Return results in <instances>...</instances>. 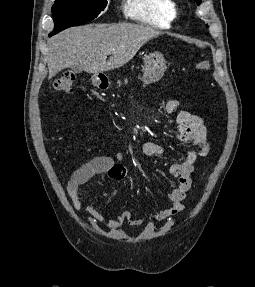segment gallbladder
Returning a JSON list of instances; mask_svg holds the SVG:
<instances>
[{
    "mask_svg": "<svg viewBox=\"0 0 255 287\" xmlns=\"http://www.w3.org/2000/svg\"><path fill=\"white\" fill-rule=\"evenodd\" d=\"M70 70H72L74 74H80V72H82V68L79 66V64H76V66H71Z\"/></svg>",
    "mask_w": 255,
    "mask_h": 287,
    "instance_id": "bac80fb5",
    "label": "gallbladder"
}]
</instances>
